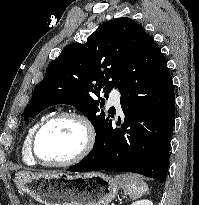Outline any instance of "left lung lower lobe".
I'll return each instance as SVG.
<instances>
[{
  "label": "left lung lower lobe",
  "instance_id": "left-lung-lower-lobe-1",
  "mask_svg": "<svg viewBox=\"0 0 199 205\" xmlns=\"http://www.w3.org/2000/svg\"><path fill=\"white\" fill-rule=\"evenodd\" d=\"M124 122L112 119L96 136L92 151L67 171L134 172L166 180L175 95L167 62L144 32L119 88ZM116 113L115 108L112 109ZM120 119V117H119Z\"/></svg>",
  "mask_w": 199,
  "mask_h": 205
}]
</instances>
